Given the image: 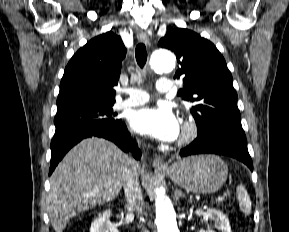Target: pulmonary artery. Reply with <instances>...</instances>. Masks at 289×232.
<instances>
[{
    "instance_id": "1",
    "label": "pulmonary artery",
    "mask_w": 289,
    "mask_h": 232,
    "mask_svg": "<svg viewBox=\"0 0 289 232\" xmlns=\"http://www.w3.org/2000/svg\"><path fill=\"white\" fill-rule=\"evenodd\" d=\"M156 89L160 93H169L172 89V83L167 78H160L156 83ZM129 97L117 104L118 108H129L145 104L149 100L147 92L140 89H128Z\"/></svg>"
}]
</instances>
